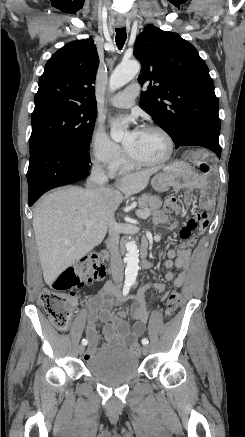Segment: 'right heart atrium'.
Returning <instances> with one entry per match:
<instances>
[{"mask_svg":"<svg viewBox=\"0 0 245 437\" xmlns=\"http://www.w3.org/2000/svg\"><path fill=\"white\" fill-rule=\"evenodd\" d=\"M89 155L92 163L109 172L116 170L124 160L121 147L100 126L96 125L89 140Z\"/></svg>","mask_w":245,"mask_h":437,"instance_id":"1","label":"right heart atrium"}]
</instances>
